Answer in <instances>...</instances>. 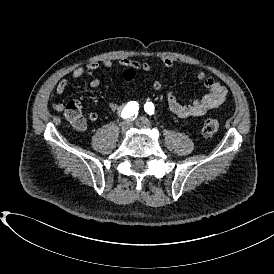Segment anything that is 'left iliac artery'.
I'll use <instances>...</instances> for the list:
<instances>
[{
  "mask_svg": "<svg viewBox=\"0 0 274 274\" xmlns=\"http://www.w3.org/2000/svg\"><path fill=\"white\" fill-rule=\"evenodd\" d=\"M144 110L146 111L147 114L149 115H152L154 114V105L152 102H147L145 105H144Z\"/></svg>",
  "mask_w": 274,
  "mask_h": 274,
  "instance_id": "left-iliac-artery-1",
  "label": "left iliac artery"
}]
</instances>
